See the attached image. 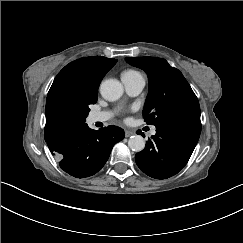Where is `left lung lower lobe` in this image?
I'll list each match as a JSON object with an SVG mask.
<instances>
[{
    "label": "left lung lower lobe",
    "instance_id": "0a47b994",
    "mask_svg": "<svg viewBox=\"0 0 243 243\" xmlns=\"http://www.w3.org/2000/svg\"><path fill=\"white\" fill-rule=\"evenodd\" d=\"M201 133V123L172 121L156 126L153 141L135 155L138 167L148 176L166 179L183 169Z\"/></svg>",
    "mask_w": 243,
    "mask_h": 243
}]
</instances>
